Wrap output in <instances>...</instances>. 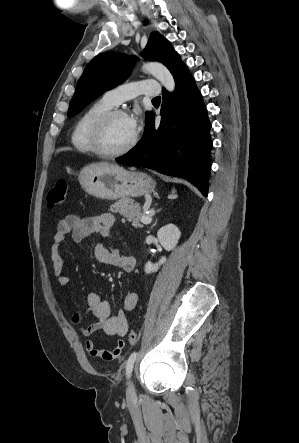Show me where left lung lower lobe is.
Returning a JSON list of instances; mask_svg holds the SVG:
<instances>
[{"label":"left lung lower lobe","mask_w":299,"mask_h":443,"mask_svg":"<svg viewBox=\"0 0 299 443\" xmlns=\"http://www.w3.org/2000/svg\"><path fill=\"white\" fill-rule=\"evenodd\" d=\"M174 79L173 94L163 89L160 126L155 127L154 113L151 112L137 146L116 162L184 178L207 196L211 124L201 94L187 68Z\"/></svg>","instance_id":"left-lung-lower-lobe-1"}]
</instances>
